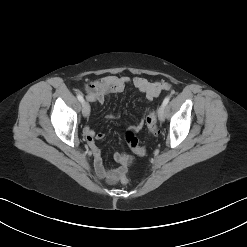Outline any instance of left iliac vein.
I'll list each match as a JSON object with an SVG mask.
<instances>
[{
	"label": "left iliac vein",
	"instance_id": "4c4485c4",
	"mask_svg": "<svg viewBox=\"0 0 247 247\" xmlns=\"http://www.w3.org/2000/svg\"><path fill=\"white\" fill-rule=\"evenodd\" d=\"M158 118L162 122L165 119V106L161 105L158 109Z\"/></svg>",
	"mask_w": 247,
	"mask_h": 247
}]
</instances>
